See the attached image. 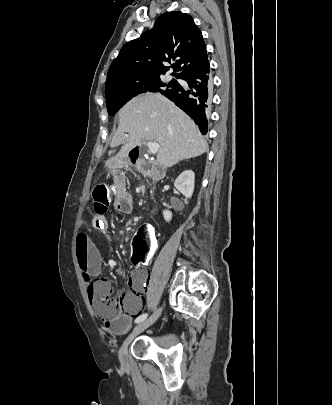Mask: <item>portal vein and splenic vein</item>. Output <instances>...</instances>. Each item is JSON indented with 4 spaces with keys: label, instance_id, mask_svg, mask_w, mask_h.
I'll list each match as a JSON object with an SVG mask.
<instances>
[{
    "label": "portal vein and splenic vein",
    "instance_id": "1",
    "mask_svg": "<svg viewBox=\"0 0 332 405\" xmlns=\"http://www.w3.org/2000/svg\"><path fill=\"white\" fill-rule=\"evenodd\" d=\"M147 147L152 154H156L159 150V144L157 142H147Z\"/></svg>",
    "mask_w": 332,
    "mask_h": 405
}]
</instances>
